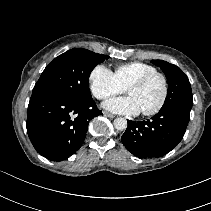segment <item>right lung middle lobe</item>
<instances>
[{"label":"right lung middle lobe","mask_w":211,"mask_h":211,"mask_svg":"<svg viewBox=\"0 0 211 211\" xmlns=\"http://www.w3.org/2000/svg\"><path fill=\"white\" fill-rule=\"evenodd\" d=\"M108 56L74 48L56 57L35 84L34 95H56L78 102L92 99L88 80L93 68Z\"/></svg>","instance_id":"dd1d6c3e"}]
</instances>
